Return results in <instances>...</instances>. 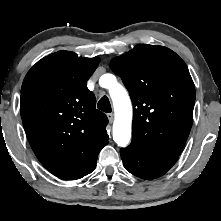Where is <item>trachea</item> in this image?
<instances>
[{"label": "trachea", "mask_w": 221, "mask_h": 221, "mask_svg": "<svg viewBox=\"0 0 221 221\" xmlns=\"http://www.w3.org/2000/svg\"><path fill=\"white\" fill-rule=\"evenodd\" d=\"M97 107L103 111V112H106V113H110L111 112V105H110V101L108 99L107 96H103L98 104H97Z\"/></svg>", "instance_id": "3493384b"}]
</instances>
